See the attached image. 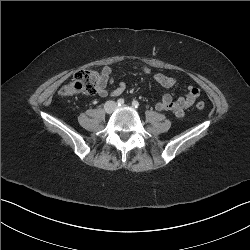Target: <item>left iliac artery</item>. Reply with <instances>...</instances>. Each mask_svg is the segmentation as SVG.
I'll return each mask as SVG.
<instances>
[{"label":"left iliac artery","instance_id":"44dca946","mask_svg":"<svg viewBox=\"0 0 250 250\" xmlns=\"http://www.w3.org/2000/svg\"><path fill=\"white\" fill-rule=\"evenodd\" d=\"M132 105H133V107L138 108V107H139V102L136 101V100H134V101L132 102Z\"/></svg>","mask_w":250,"mask_h":250}]
</instances>
